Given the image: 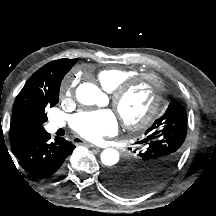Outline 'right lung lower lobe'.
Here are the masks:
<instances>
[{"instance_id":"1","label":"right lung lower lobe","mask_w":216,"mask_h":216,"mask_svg":"<svg viewBox=\"0 0 216 216\" xmlns=\"http://www.w3.org/2000/svg\"><path fill=\"white\" fill-rule=\"evenodd\" d=\"M49 140L50 134L44 130L31 135L14 152L22 168L39 179H51L60 174L66 158L75 149V146L64 138L58 137L54 142Z\"/></svg>"}]
</instances>
